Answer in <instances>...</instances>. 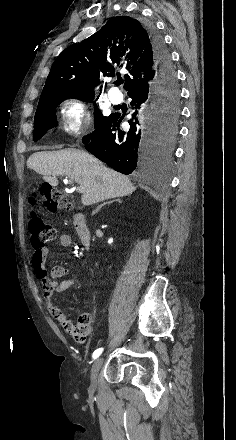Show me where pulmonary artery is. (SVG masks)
<instances>
[{"label": "pulmonary artery", "mask_w": 236, "mask_h": 440, "mask_svg": "<svg viewBox=\"0 0 236 440\" xmlns=\"http://www.w3.org/2000/svg\"><path fill=\"white\" fill-rule=\"evenodd\" d=\"M108 95H109V99L114 104H118L122 101V94L116 89L110 90Z\"/></svg>", "instance_id": "pulmonary-artery-1"}]
</instances>
